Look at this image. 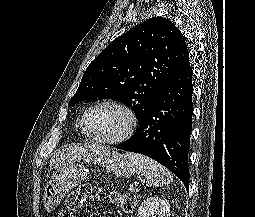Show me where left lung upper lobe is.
<instances>
[{
    "label": "left lung upper lobe",
    "mask_w": 255,
    "mask_h": 217,
    "mask_svg": "<svg viewBox=\"0 0 255 217\" xmlns=\"http://www.w3.org/2000/svg\"><path fill=\"white\" fill-rule=\"evenodd\" d=\"M188 56L181 31L166 18H150L89 64L68 106L112 99L132 107L140 123L161 85Z\"/></svg>",
    "instance_id": "5c2ea615"
}]
</instances>
